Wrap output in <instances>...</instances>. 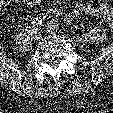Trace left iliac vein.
Masks as SVG:
<instances>
[{"instance_id":"4c4485c4","label":"left iliac vein","mask_w":113,"mask_h":113,"mask_svg":"<svg viewBox=\"0 0 113 113\" xmlns=\"http://www.w3.org/2000/svg\"><path fill=\"white\" fill-rule=\"evenodd\" d=\"M56 27H58V26L55 25V23H48L46 26V31L50 34H53L57 31Z\"/></svg>"}]
</instances>
